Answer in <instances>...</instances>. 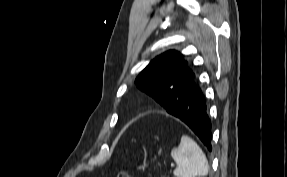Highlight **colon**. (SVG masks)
Returning <instances> with one entry per match:
<instances>
[{"instance_id":"obj_1","label":"colon","mask_w":287,"mask_h":177,"mask_svg":"<svg viewBox=\"0 0 287 177\" xmlns=\"http://www.w3.org/2000/svg\"><path fill=\"white\" fill-rule=\"evenodd\" d=\"M118 177H132L131 174L128 171H120L118 173Z\"/></svg>"}]
</instances>
